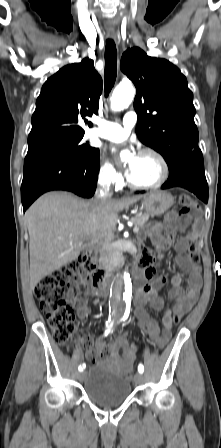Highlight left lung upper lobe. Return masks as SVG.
<instances>
[{
  "instance_id": "obj_1",
  "label": "left lung upper lobe",
  "mask_w": 221,
  "mask_h": 448,
  "mask_svg": "<svg viewBox=\"0 0 221 448\" xmlns=\"http://www.w3.org/2000/svg\"><path fill=\"white\" fill-rule=\"evenodd\" d=\"M120 67L136 86V133L142 143L159 152L168 165L200 151L193 94L181 71L138 47L123 53Z\"/></svg>"
}]
</instances>
